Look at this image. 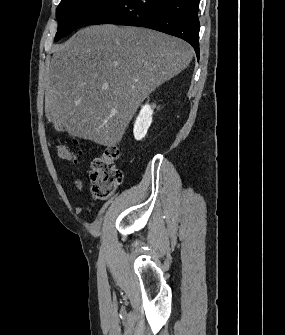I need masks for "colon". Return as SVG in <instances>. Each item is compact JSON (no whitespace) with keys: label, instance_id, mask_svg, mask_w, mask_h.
<instances>
[{"label":"colon","instance_id":"obj_1","mask_svg":"<svg viewBox=\"0 0 285 335\" xmlns=\"http://www.w3.org/2000/svg\"><path fill=\"white\" fill-rule=\"evenodd\" d=\"M59 157L77 162V154L62 145L56 146ZM119 151L115 147H108L96 159L93 160L89 171L91 191L98 199L109 198L115 189L122 183L123 174L117 166Z\"/></svg>","mask_w":285,"mask_h":335}]
</instances>
